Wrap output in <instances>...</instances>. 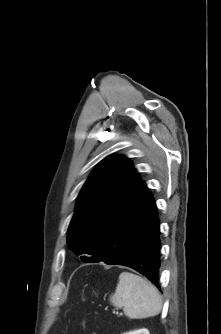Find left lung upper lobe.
<instances>
[{
	"mask_svg": "<svg viewBox=\"0 0 221 334\" xmlns=\"http://www.w3.org/2000/svg\"><path fill=\"white\" fill-rule=\"evenodd\" d=\"M142 180L124 156L110 155L92 171L82 187L68 229L70 249L85 262H93L96 247Z\"/></svg>",
	"mask_w": 221,
	"mask_h": 334,
	"instance_id": "obj_1",
	"label": "left lung upper lobe"
}]
</instances>
